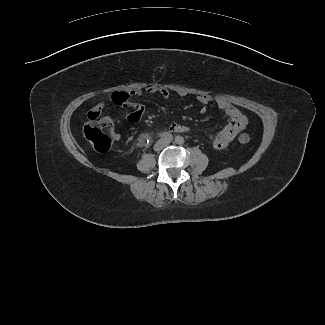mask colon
<instances>
[{
  "mask_svg": "<svg viewBox=\"0 0 325 325\" xmlns=\"http://www.w3.org/2000/svg\"><path fill=\"white\" fill-rule=\"evenodd\" d=\"M83 133L95 150L106 152L112 143L114 123L109 118L88 117V121L84 125ZM238 141L241 144H247L250 142V136L245 133L241 134L238 137Z\"/></svg>",
  "mask_w": 325,
  "mask_h": 325,
  "instance_id": "colon-1",
  "label": "colon"
}]
</instances>
